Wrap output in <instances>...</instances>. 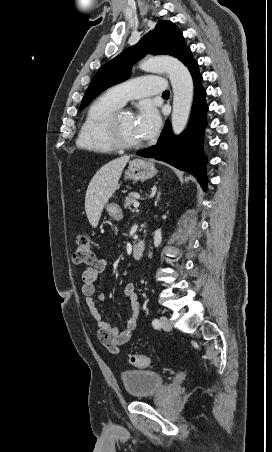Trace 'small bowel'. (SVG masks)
<instances>
[{
  "mask_svg": "<svg viewBox=\"0 0 272 452\" xmlns=\"http://www.w3.org/2000/svg\"><path fill=\"white\" fill-rule=\"evenodd\" d=\"M107 266L108 262L105 259H96L92 265L86 267L81 275V289L91 317L96 323L99 341L106 348L115 352L118 350V347L126 344L131 339L132 333L137 328L140 317V305L136 286L133 282H129L124 287V296L130 309V318L128 319L126 328L120 331L117 327L102 319L96 303L97 301L104 300L105 296L102 293L96 292L95 282L106 271Z\"/></svg>",
  "mask_w": 272,
  "mask_h": 452,
  "instance_id": "c3829d8e",
  "label": "small bowel"
}]
</instances>
